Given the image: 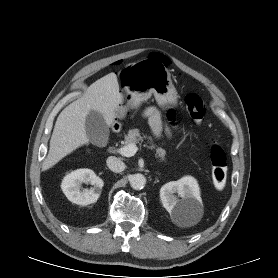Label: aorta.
<instances>
[{
    "mask_svg": "<svg viewBox=\"0 0 278 278\" xmlns=\"http://www.w3.org/2000/svg\"><path fill=\"white\" fill-rule=\"evenodd\" d=\"M146 184V178L143 174H134L130 177V185L135 190H141Z\"/></svg>",
    "mask_w": 278,
    "mask_h": 278,
    "instance_id": "obj_1",
    "label": "aorta"
}]
</instances>
